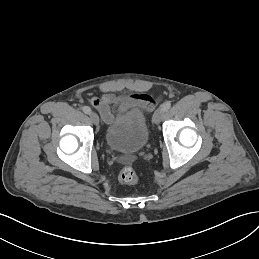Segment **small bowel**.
Listing matches in <instances>:
<instances>
[{
	"instance_id": "c3829d8e",
	"label": "small bowel",
	"mask_w": 259,
	"mask_h": 259,
	"mask_svg": "<svg viewBox=\"0 0 259 259\" xmlns=\"http://www.w3.org/2000/svg\"><path fill=\"white\" fill-rule=\"evenodd\" d=\"M90 103L98 110L106 123H110L113 119L111 106H115L120 113L132 107H142L147 111H151L154 107L153 99L146 94H131L126 97H118L108 91L100 98H91Z\"/></svg>"
}]
</instances>
